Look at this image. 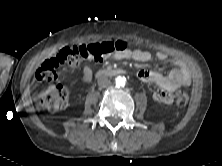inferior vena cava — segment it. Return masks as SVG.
<instances>
[{
    "label": "inferior vena cava",
    "mask_w": 222,
    "mask_h": 166,
    "mask_svg": "<svg viewBox=\"0 0 222 166\" xmlns=\"http://www.w3.org/2000/svg\"><path fill=\"white\" fill-rule=\"evenodd\" d=\"M98 85L102 88H106L111 85V81L107 77H101L98 79Z\"/></svg>",
    "instance_id": "602c4592"
}]
</instances>
